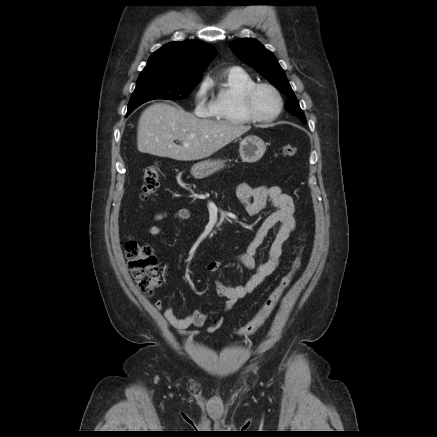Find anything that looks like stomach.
Segmentation results:
<instances>
[{"label": "stomach", "mask_w": 437, "mask_h": 437, "mask_svg": "<svg viewBox=\"0 0 437 437\" xmlns=\"http://www.w3.org/2000/svg\"><path fill=\"white\" fill-rule=\"evenodd\" d=\"M266 151L265 142L257 136H247L240 141L239 153L244 162L253 163L262 158ZM224 160H205L191 168L192 175L197 178L208 177L223 169Z\"/></svg>", "instance_id": "0dacf381"}]
</instances>
